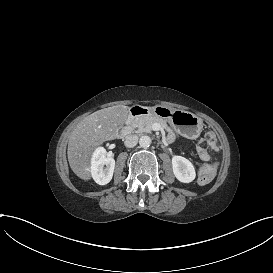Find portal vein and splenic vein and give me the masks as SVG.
Listing matches in <instances>:
<instances>
[{"label":"portal vein and splenic vein","instance_id":"portal-vein-and-splenic-vein-1","mask_svg":"<svg viewBox=\"0 0 273 273\" xmlns=\"http://www.w3.org/2000/svg\"><path fill=\"white\" fill-rule=\"evenodd\" d=\"M154 130H155V131L160 130V125L155 126V127H154Z\"/></svg>","mask_w":273,"mask_h":273}]
</instances>
